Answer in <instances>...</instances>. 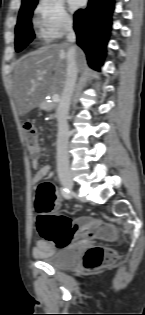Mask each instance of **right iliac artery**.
<instances>
[{
    "label": "right iliac artery",
    "instance_id": "obj_1",
    "mask_svg": "<svg viewBox=\"0 0 145 315\" xmlns=\"http://www.w3.org/2000/svg\"><path fill=\"white\" fill-rule=\"evenodd\" d=\"M60 192H61V194L63 195L64 198H66V199H70L71 198L70 192H69V190L67 188L61 187L60 188Z\"/></svg>",
    "mask_w": 145,
    "mask_h": 315
}]
</instances>
